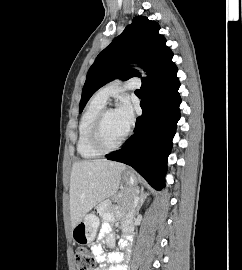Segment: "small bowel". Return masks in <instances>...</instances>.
<instances>
[{
  "label": "small bowel",
  "mask_w": 242,
  "mask_h": 270,
  "mask_svg": "<svg viewBox=\"0 0 242 270\" xmlns=\"http://www.w3.org/2000/svg\"><path fill=\"white\" fill-rule=\"evenodd\" d=\"M103 224L99 230L98 238L103 239L104 244L113 248L115 246V237L112 234L111 225L120 220L122 230L124 233L123 239L120 241V246L125 248L131 243V231L132 223L128 218H120L118 215L111 211L102 212ZM92 253L94 254L96 261L100 264L101 268L98 270H104L106 265L114 263V265L106 270H126L125 256L121 252H110L105 253L101 244H94L91 247Z\"/></svg>",
  "instance_id": "small-bowel-1"
}]
</instances>
